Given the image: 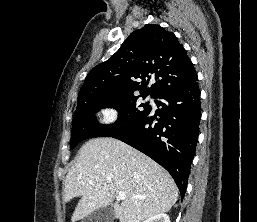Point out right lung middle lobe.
Wrapping results in <instances>:
<instances>
[{
    "label": "right lung middle lobe",
    "instance_id": "obj_1",
    "mask_svg": "<svg viewBox=\"0 0 257 222\" xmlns=\"http://www.w3.org/2000/svg\"><path fill=\"white\" fill-rule=\"evenodd\" d=\"M145 98L147 95H140ZM114 108L119 116L111 125H101L95 119V113L101 108ZM151 110L149 102L141 103L139 96H97L91 97L77 104L73 117L70 149L92 137H112L122 132Z\"/></svg>",
    "mask_w": 257,
    "mask_h": 222
}]
</instances>
